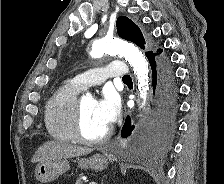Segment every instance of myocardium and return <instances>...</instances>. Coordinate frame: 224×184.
Segmentation results:
<instances>
[{
    "instance_id": "1",
    "label": "myocardium",
    "mask_w": 224,
    "mask_h": 184,
    "mask_svg": "<svg viewBox=\"0 0 224 184\" xmlns=\"http://www.w3.org/2000/svg\"><path fill=\"white\" fill-rule=\"evenodd\" d=\"M82 119H83V112H82V104L81 101H77L74 115H73V134L75 141L82 143V144H87V145H98L106 142L111 134H112V129L108 128V130L100 137L98 138H88L83 134L82 130Z\"/></svg>"
}]
</instances>
